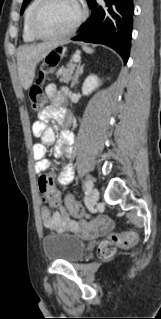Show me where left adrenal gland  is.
<instances>
[{"mask_svg": "<svg viewBox=\"0 0 161 319\" xmlns=\"http://www.w3.org/2000/svg\"><path fill=\"white\" fill-rule=\"evenodd\" d=\"M83 68H84V65H80V64L78 65L76 73H75L73 81H72V84H71V88H73L75 86V84L78 83V78L80 75H82Z\"/></svg>", "mask_w": 161, "mask_h": 319, "instance_id": "left-adrenal-gland-1", "label": "left adrenal gland"}]
</instances>
